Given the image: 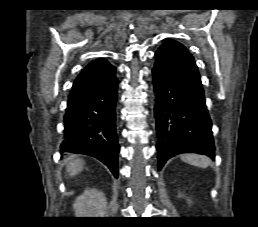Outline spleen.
Segmentation results:
<instances>
[{"mask_svg":"<svg viewBox=\"0 0 258 227\" xmlns=\"http://www.w3.org/2000/svg\"><path fill=\"white\" fill-rule=\"evenodd\" d=\"M181 159L188 164L198 166L201 168H206L211 164L209 158L198 154H184L181 156Z\"/></svg>","mask_w":258,"mask_h":227,"instance_id":"obj_1","label":"spleen"}]
</instances>
